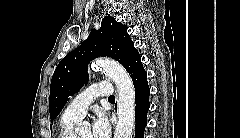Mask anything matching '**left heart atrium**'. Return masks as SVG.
I'll use <instances>...</instances> for the list:
<instances>
[{
    "instance_id": "obj_1",
    "label": "left heart atrium",
    "mask_w": 240,
    "mask_h": 138,
    "mask_svg": "<svg viewBox=\"0 0 240 138\" xmlns=\"http://www.w3.org/2000/svg\"><path fill=\"white\" fill-rule=\"evenodd\" d=\"M110 135V126L106 117L102 113H98L94 119L91 138H108Z\"/></svg>"
}]
</instances>
